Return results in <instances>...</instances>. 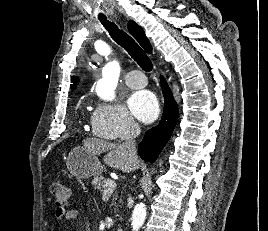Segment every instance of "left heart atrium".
<instances>
[{
    "label": "left heart atrium",
    "instance_id": "obj_1",
    "mask_svg": "<svg viewBox=\"0 0 268 231\" xmlns=\"http://www.w3.org/2000/svg\"><path fill=\"white\" fill-rule=\"evenodd\" d=\"M127 103L132 115L144 123H151L159 116L158 100L150 91L141 90L132 93Z\"/></svg>",
    "mask_w": 268,
    "mask_h": 231
}]
</instances>
